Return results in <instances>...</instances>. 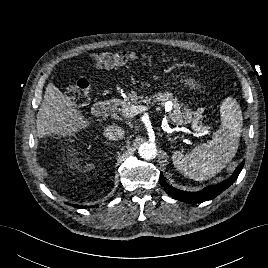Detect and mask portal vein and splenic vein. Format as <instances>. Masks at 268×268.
Listing matches in <instances>:
<instances>
[{"instance_id": "18ae733b", "label": "portal vein and splenic vein", "mask_w": 268, "mask_h": 268, "mask_svg": "<svg viewBox=\"0 0 268 268\" xmlns=\"http://www.w3.org/2000/svg\"><path fill=\"white\" fill-rule=\"evenodd\" d=\"M148 109H150L149 107L146 106H142V105H132L129 108H125L124 110H122V114L124 117H134L135 115L142 113L144 111H147ZM197 130H200V127L196 128Z\"/></svg>"}]
</instances>
